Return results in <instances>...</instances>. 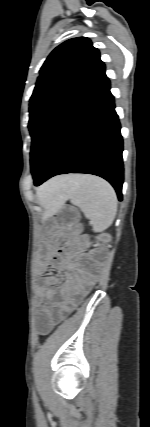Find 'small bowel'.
I'll use <instances>...</instances> for the list:
<instances>
[{
    "instance_id": "1",
    "label": "small bowel",
    "mask_w": 150,
    "mask_h": 427,
    "mask_svg": "<svg viewBox=\"0 0 150 427\" xmlns=\"http://www.w3.org/2000/svg\"><path fill=\"white\" fill-rule=\"evenodd\" d=\"M67 265L66 260L60 254H54L47 256L39 261L37 265V271L43 275L49 268L57 267L63 268ZM56 283V279L50 276H41L39 279L37 299L39 303H46L40 311L38 328L42 334L48 333L51 328L66 314L71 312L73 307L78 302V298L74 297L67 299L57 305V310H54L53 299L56 295L55 290L52 288ZM71 290L70 286H66L63 293L66 294ZM86 291L85 286H81L77 289V295H81Z\"/></svg>"
}]
</instances>
